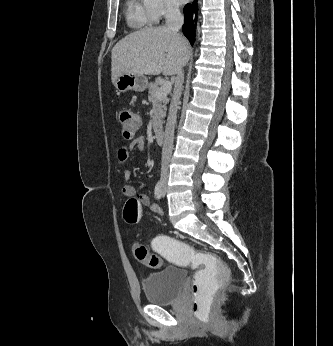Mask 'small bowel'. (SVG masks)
<instances>
[{
	"instance_id": "obj_1",
	"label": "small bowel",
	"mask_w": 333,
	"mask_h": 346,
	"mask_svg": "<svg viewBox=\"0 0 333 346\" xmlns=\"http://www.w3.org/2000/svg\"><path fill=\"white\" fill-rule=\"evenodd\" d=\"M146 141L143 137H138L134 139L127 147H122L118 151V159L120 162H126L130 152H141L144 150ZM133 173L131 170H126L124 172V178L129 180L132 177ZM122 192L125 196L132 197L136 196L141 205L149 207V209L157 214L161 213V208L154 203H151L148 195L143 193H138L136 186L132 184H125L123 186Z\"/></svg>"
}]
</instances>
